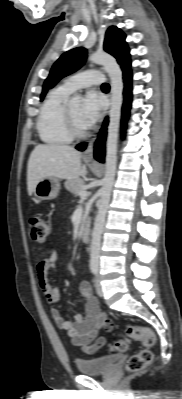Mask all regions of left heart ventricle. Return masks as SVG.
Returning a JSON list of instances; mask_svg holds the SVG:
<instances>
[{
    "instance_id": "obj_1",
    "label": "left heart ventricle",
    "mask_w": 182,
    "mask_h": 399,
    "mask_svg": "<svg viewBox=\"0 0 182 399\" xmlns=\"http://www.w3.org/2000/svg\"><path fill=\"white\" fill-rule=\"evenodd\" d=\"M72 118L79 129H86V126L81 120L82 106L80 104L69 106Z\"/></svg>"
}]
</instances>
